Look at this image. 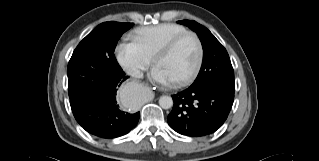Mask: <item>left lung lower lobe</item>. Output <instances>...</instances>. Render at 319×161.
Listing matches in <instances>:
<instances>
[{"label": "left lung lower lobe", "instance_id": "obj_1", "mask_svg": "<svg viewBox=\"0 0 319 161\" xmlns=\"http://www.w3.org/2000/svg\"><path fill=\"white\" fill-rule=\"evenodd\" d=\"M173 109L168 124L176 132L200 137L214 133L227 119L234 92L215 86L191 85L172 95Z\"/></svg>", "mask_w": 319, "mask_h": 161}]
</instances>
